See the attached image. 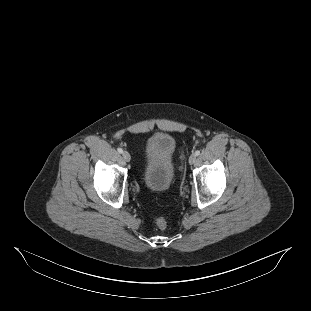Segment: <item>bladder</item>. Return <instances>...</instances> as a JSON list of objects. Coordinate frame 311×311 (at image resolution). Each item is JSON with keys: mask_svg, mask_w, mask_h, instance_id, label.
I'll use <instances>...</instances> for the list:
<instances>
[{"mask_svg": "<svg viewBox=\"0 0 311 311\" xmlns=\"http://www.w3.org/2000/svg\"><path fill=\"white\" fill-rule=\"evenodd\" d=\"M176 141L168 133L150 136L144 145L141 159V178L153 192L168 190L176 178Z\"/></svg>", "mask_w": 311, "mask_h": 311, "instance_id": "31cf9c89", "label": "bladder"}]
</instances>
